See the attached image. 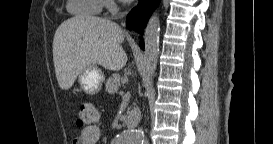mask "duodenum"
Listing matches in <instances>:
<instances>
[{
  "label": "duodenum",
  "instance_id": "duodenum-1",
  "mask_svg": "<svg viewBox=\"0 0 273 144\" xmlns=\"http://www.w3.org/2000/svg\"><path fill=\"white\" fill-rule=\"evenodd\" d=\"M139 113L137 111H130L125 118V125L126 127H133L136 126L139 120Z\"/></svg>",
  "mask_w": 273,
  "mask_h": 144
}]
</instances>
